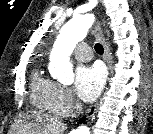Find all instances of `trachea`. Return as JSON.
<instances>
[{
  "label": "trachea",
  "instance_id": "obj_1",
  "mask_svg": "<svg viewBox=\"0 0 153 134\" xmlns=\"http://www.w3.org/2000/svg\"><path fill=\"white\" fill-rule=\"evenodd\" d=\"M94 48H95V51L98 54H103L104 53V48L100 43L95 44Z\"/></svg>",
  "mask_w": 153,
  "mask_h": 134
}]
</instances>
